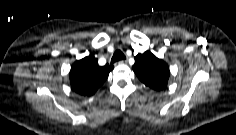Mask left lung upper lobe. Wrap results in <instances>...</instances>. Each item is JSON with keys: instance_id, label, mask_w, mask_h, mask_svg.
Segmentation results:
<instances>
[{"instance_id": "1", "label": "left lung upper lobe", "mask_w": 236, "mask_h": 135, "mask_svg": "<svg viewBox=\"0 0 236 135\" xmlns=\"http://www.w3.org/2000/svg\"><path fill=\"white\" fill-rule=\"evenodd\" d=\"M133 71L137 77L154 90H163L170 76L168 65L150 51L135 56Z\"/></svg>"}]
</instances>
